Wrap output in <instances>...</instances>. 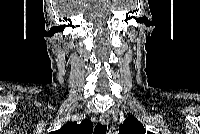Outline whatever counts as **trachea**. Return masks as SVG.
<instances>
[{"instance_id": "trachea-1", "label": "trachea", "mask_w": 200, "mask_h": 134, "mask_svg": "<svg viewBox=\"0 0 200 134\" xmlns=\"http://www.w3.org/2000/svg\"><path fill=\"white\" fill-rule=\"evenodd\" d=\"M107 132V126L103 124H97L94 129V134H106Z\"/></svg>"}]
</instances>
